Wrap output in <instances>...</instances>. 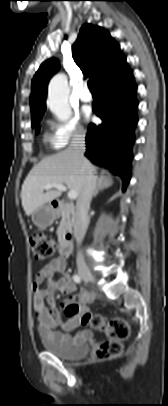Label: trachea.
<instances>
[{
  "label": "trachea",
  "mask_w": 168,
  "mask_h": 406,
  "mask_svg": "<svg viewBox=\"0 0 168 406\" xmlns=\"http://www.w3.org/2000/svg\"><path fill=\"white\" fill-rule=\"evenodd\" d=\"M88 87H89L91 92L96 91V88H95V86H94V84H93V82L91 80L88 81Z\"/></svg>",
  "instance_id": "1"
}]
</instances>
